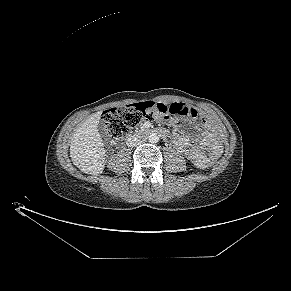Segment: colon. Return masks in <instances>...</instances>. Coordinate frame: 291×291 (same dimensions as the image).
Instances as JSON below:
<instances>
[{"label": "colon", "instance_id": "obj_1", "mask_svg": "<svg viewBox=\"0 0 291 291\" xmlns=\"http://www.w3.org/2000/svg\"><path fill=\"white\" fill-rule=\"evenodd\" d=\"M170 116L195 118L198 116V111L184 103L143 102L106 110L103 113L102 122L107 135L120 139L142 120H152L157 117L168 118ZM217 159V155L211 154L208 165H215Z\"/></svg>", "mask_w": 291, "mask_h": 291}]
</instances>
